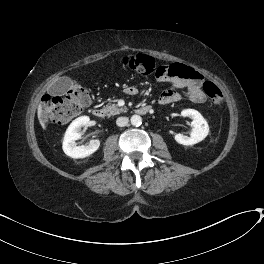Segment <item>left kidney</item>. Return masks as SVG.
<instances>
[{
	"label": "left kidney",
	"mask_w": 264,
	"mask_h": 264,
	"mask_svg": "<svg viewBox=\"0 0 264 264\" xmlns=\"http://www.w3.org/2000/svg\"><path fill=\"white\" fill-rule=\"evenodd\" d=\"M183 117H190L193 119L191 125L193 127L190 136L183 134H176L174 136L176 142L182 145H194L202 141L209 133V126L204 117L194 109H184L181 112Z\"/></svg>",
	"instance_id": "5707ae66"
}]
</instances>
